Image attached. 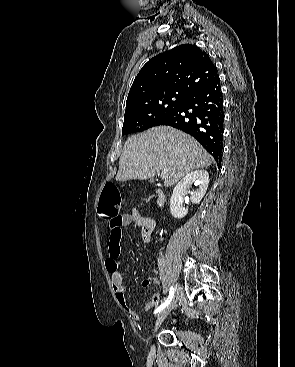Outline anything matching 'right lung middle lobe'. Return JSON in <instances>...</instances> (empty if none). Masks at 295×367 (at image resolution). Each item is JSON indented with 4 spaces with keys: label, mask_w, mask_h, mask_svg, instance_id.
Returning <instances> with one entry per match:
<instances>
[{
    "label": "right lung middle lobe",
    "mask_w": 295,
    "mask_h": 367,
    "mask_svg": "<svg viewBox=\"0 0 295 367\" xmlns=\"http://www.w3.org/2000/svg\"><path fill=\"white\" fill-rule=\"evenodd\" d=\"M188 95L163 93L133 102L125 111L122 135L144 131L178 109Z\"/></svg>",
    "instance_id": "1"
}]
</instances>
